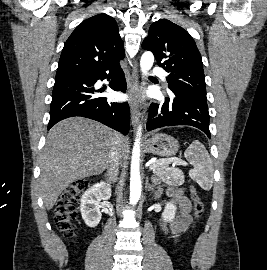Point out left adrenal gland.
Here are the masks:
<instances>
[{
    "label": "left adrenal gland",
    "instance_id": "obj_1",
    "mask_svg": "<svg viewBox=\"0 0 267 270\" xmlns=\"http://www.w3.org/2000/svg\"><path fill=\"white\" fill-rule=\"evenodd\" d=\"M152 187H153V185H151V184L149 183V177H147V178H146V188H147V189H152Z\"/></svg>",
    "mask_w": 267,
    "mask_h": 270
}]
</instances>
